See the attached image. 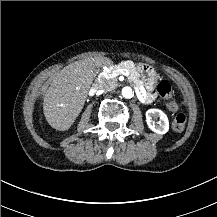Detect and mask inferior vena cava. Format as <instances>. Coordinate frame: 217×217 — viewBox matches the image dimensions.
Listing matches in <instances>:
<instances>
[{"label": "inferior vena cava", "instance_id": "1", "mask_svg": "<svg viewBox=\"0 0 217 217\" xmlns=\"http://www.w3.org/2000/svg\"><path fill=\"white\" fill-rule=\"evenodd\" d=\"M95 88L96 89H102L103 87L98 84Z\"/></svg>", "mask_w": 217, "mask_h": 217}]
</instances>
